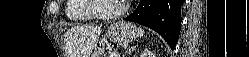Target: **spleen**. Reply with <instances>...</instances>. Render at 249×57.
I'll use <instances>...</instances> for the list:
<instances>
[{
	"instance_id": "obj_1",
	"label": "spleen",
	"mask_w": 249,
	"mask_h": 57,
	"mask_svg": "<svg viewBox=\"0 0 249 57\" xmlns=\"http://www.w3.org/2000/svg\"><path fill=\"white\" fill-rule=\"evenodd\" d=\"M138 31L140 37L144 35V30L141 27L138 28Z\"/></svg>"
}]
</instances>
